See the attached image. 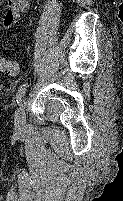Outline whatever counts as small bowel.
Wrapping results in <instances>:
<instances>
[{"instance_id":"c3829d8e","label":"small bowel","mask_w":123,"mask_h":201,"mask_svg":"<svg viewBox=\"0 0 123 201\" xmlns=\"http://www.w3.org/2000/svg\"><path fill=\"white\" fill-rule=\"evenodd\" d=\"M7 11L5 12L0 30L18 26L20 15L30 9L29 0H6Z\"/></svg>"}]
</instances>
